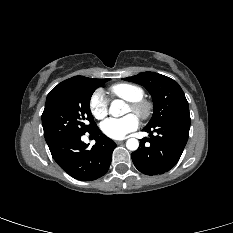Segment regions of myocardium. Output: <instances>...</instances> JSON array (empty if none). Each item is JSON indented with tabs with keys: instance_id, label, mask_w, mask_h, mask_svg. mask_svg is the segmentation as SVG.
Masks as SVG:
<instances>
[{
	"instance_id": "obj_1",
	"label": "myocardium",
	"mask_w": 233,
	"mask_h": 233,
	"mask_svg": "<svg viewBox=\"0 0 233 233\" xmlns=\"http://www.w3.org/2000/svg\"><path fill=\"white\" fill-rule=\"evenodd\" d=\"M127 106L130 112L135 114L141 120L149 119L154 110L153 103L146 98L130 101L128 102Z\"/></svg>"
}]
</instances>
